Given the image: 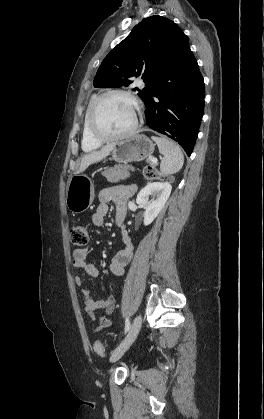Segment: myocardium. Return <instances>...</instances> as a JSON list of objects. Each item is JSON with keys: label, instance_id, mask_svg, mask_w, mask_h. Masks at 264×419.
<instances>
[{"label": "myocardium", "instance_id": "f54148a6", "mask_svg": "<svg viewBox=\"0 0 264 419\" xmlns=\"http://www.w3.org/2000/svg\"><path fill=\"white\" fill-rule=\"evenodd\" d=\"M113 95H121V96H125L127 98H129L136 107V119H135V123L132 126V128H130L128 131L120 133V134H115V135H108L105 134L103 132H101L96 124V115H97V111L101 105V103L110 96ZM142 118V106L140 101L137 99V97L132 94L130 91L127 90H123V89H113V90H108L106 92H103L102 94L98 95L95 100L93 101L89 114H88V130L90 135L97 141L99 142H113V141H119V140H123L126 138H129L131 136H133L138 128H139V124Z\"/></svg>", "mask_w": 264, "mask_h": 419}]
</instances>
